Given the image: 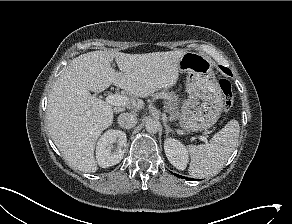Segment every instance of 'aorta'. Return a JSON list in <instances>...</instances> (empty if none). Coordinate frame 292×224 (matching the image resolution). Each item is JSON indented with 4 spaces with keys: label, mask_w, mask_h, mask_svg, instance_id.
<instances>
[{
    "label": "aorta",
    "mask_w": 292,
    "mask_h": 224,
    "mask_svg": "<svg viewBox=\"0 0 292 224\" xmlns=\"http://www.w3.org/2000/svg\"><path fill=\"white\" fill-rule=\"evenodd\" d=\"M159 126L160 124L156 119H148L145 124L146 130L149 133H156L159 129Z\"/></svg>",
    "instance_id": "1"
}]
</instances>
